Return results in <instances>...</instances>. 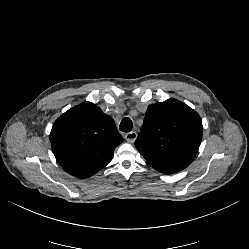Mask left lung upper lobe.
Listing matches in <instances>:
<instances>
[{"instance_id": "5c2ea615", "label": "left lung upper lobe", "mask_w": 249, "mask_h": 249, "mask_svg": "<svg viewBox=\"0 0 249 249\" xmlns=\"http://www.w3.org/2000/svg\"><path fill=\"white\" fill-rule=\"evenodd\" d=\"M202 128L201 118L195 110L176 99H169L148 107L135 146L157 171L179 172L197 154Z\"/></svg>"}]
</instances>
